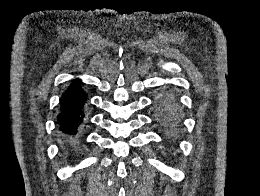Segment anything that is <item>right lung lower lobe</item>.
Here are the masks:
<instances>
[{
  "mask_svg": "<svg viewBox=\"0 0 260 196\" xmlns=\"http://www.w3.org/2000/svg\"><path fill=\"white\" fill-rule=\"evenodd\" d=\"M76 79L62 93L57 115V131L62 142L63 153L73 155L81 143L86 125L85 106L88 94Z\"/></svg>",
  "mask_w": 260,
  "mask_h": 196,
  "instance_id": "right-lung-lower-lobe-1",
  "label": "right lung lower lobe"
}]
</instances>
